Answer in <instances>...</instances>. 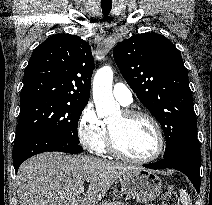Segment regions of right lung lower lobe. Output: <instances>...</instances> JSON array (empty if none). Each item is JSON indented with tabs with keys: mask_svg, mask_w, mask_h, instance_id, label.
<instances>
[{
	"mask_svg": "<svg viewBox=\"0 0 212 205\" xmlns=\"http://www.w3.org/2000/svg\"><path fill=\"white\" fill-rule=\"evenodd\" d=\"M48 151L76 154L82 152L83 148L79 143L51 134H37L22 138L14 142L13 146V165L15 172L17 173L19 166L26 159Z\"/></svg>",
	"mask_w": 212,
	"mask_h": 205,
	"instance_id": "1",
	"label": "right lung lower lobe"
}]
</instances>
